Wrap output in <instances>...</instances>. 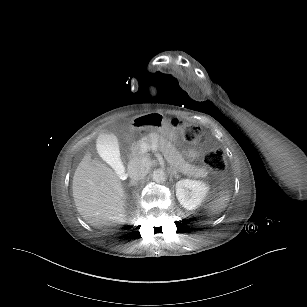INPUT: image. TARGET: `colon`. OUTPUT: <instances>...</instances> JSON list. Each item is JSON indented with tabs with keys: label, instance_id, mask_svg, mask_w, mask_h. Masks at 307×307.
I'll return each instance as SVG.
<instances>
[{
	"label": "colon",
	"instance_id": "colon-1",
	"mask_svg": "<svg viewBox=\"0 0 307 307\" xmlns=\"http://www.w3.org/2000/svg\"><path fill=\"white\" fill-rule=\"evenodd\" d=\"M171 125L183 132V138L186 142L191 144H202L203 137L200 135L199 127L188 124L178 118L170 120ZM205 164L216 174H220L225 169V159L222 151L212 149L205 152Z\"/></svg>",
	"mask_w": 307,
	"mask_h": 307
}]
</instances>
